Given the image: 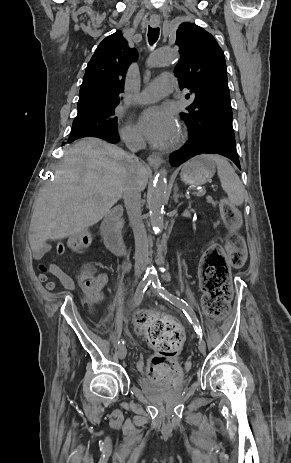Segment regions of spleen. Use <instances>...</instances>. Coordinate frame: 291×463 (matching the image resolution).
I'll return each instance as SVG.
<instances>
[{"label": "spleen", "instance_id": "obj_1", "mask_svg": "<svg viewBox=\"0 0 291 463\" xmlns=\"http://www.w3.org/2000/svg\"><path fill=\"white\" fill-rule=\"evenodd\" d=\"M202 157L213 161L218 169V177L223 190L227 193L231 204L240 206L244 202L245 188L229 162L217 155H203Z\"/></svg>", "mask_w": 291, "mask_h": 463}]
</instances>
